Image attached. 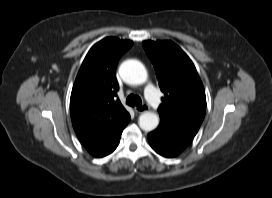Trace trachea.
Instances as JSON below:
<instances>
[{
  "label": "trachea",
  "mask_w": 272,
  "mask_h": 198,
  "mask_svg": "<svg viewBox=\"0 0 272 198\" xmlns=\"http://www.w3.org/2000/svg\"><path fill=\"white\" fill-rule=\"evenodd\" d=\"M126 104L129 106H140L142 104V100L138 95H129L126 99Z\"/></svg>",
  "instance_id": "3493384b"
}]
</instances>
